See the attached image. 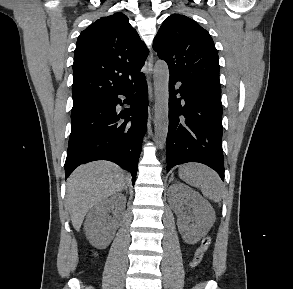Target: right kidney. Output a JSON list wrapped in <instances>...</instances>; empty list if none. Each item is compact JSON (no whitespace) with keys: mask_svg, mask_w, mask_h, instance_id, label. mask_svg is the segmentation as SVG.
Segmentation results:
<instances>
[{"mask_svg":"<svg viewBox=\"0 0 293 289\" xmlns=\"http://www.w3.org/2000/svg\"><path fill=\"white\" fill-rule=\"evenodd\" d=\"M126 198L122 194H116L96 204L88 213L85 221V232L87 238L96 247L104 248L112 240L117 228V220L123 213ZM114 219L109 220L107 214L113 210Z\"/></svg>","mask_w":293,"mask_h":289,"instance_id":"right-kidney-1","label":"right kidney"}]
</instances>
